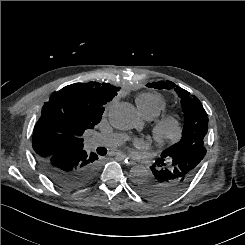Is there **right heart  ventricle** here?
<instances>
[{
	"label": "right heart ventricle",
	"mask_w": 245,
	"mask_h": 245,
	"mask_svg": "<svg viewBox=\"0 0 245 245\" xmlns=\"http://www.w3.org/2000/svg\"><path fill=\"white\" fill-rule=\"evenodd\" d=\"M137 108L140 114L146 119L158 117L166 108L167 100L155 92H145L136 98Z\"/></svg>",
	"instance_id": "right-heart-ventricle-1"
}]
</instances>
